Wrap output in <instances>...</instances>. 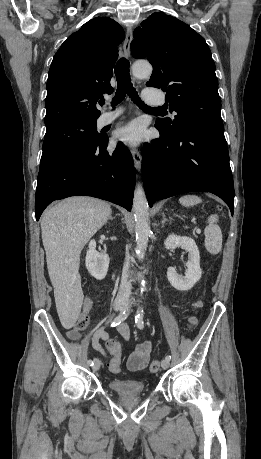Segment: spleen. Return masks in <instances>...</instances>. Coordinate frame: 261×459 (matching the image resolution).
Listing matches in <instances>:
<instances>
[{
	"label": "spleen",
	"instance_id": "3e777b00",
	"mask_svg": "<svg viewBox=\"0 0 261 459\" xmlns=\"http://www.w3.org/2000/svg\"><path fill=\"white\" fill-rule=\"evenodd\" d=\"M201 202L202 199L196 195H184L179 198V203L185 207H193ZM217 222L218 216L211 215L207 219L208 225L204 230L205 248L212 255L218 254L222 249V232Z\"/></svg>",
	"mask_w": 261,
	"mask_h": 459
}]
</instances>
